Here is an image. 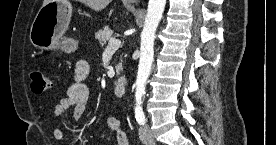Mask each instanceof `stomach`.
Masks as SVG:
<instances>
[{"instance_id": "obj_1", "label": "stomach", "mask_w": 276, "mask_h": 145, "mask_svg": "<svg viewBox=\"0 0 276 145\" xmlns=\"http://www.w3.org/2000/svg\"><path fill=\"white\" fill-rule=\"evenodd\" d=\"M71 14L72 6L67 0H50L43 5L31 26V43L42 50H75L77 42L64 37Z\"/></svg>"}]
</instances>
